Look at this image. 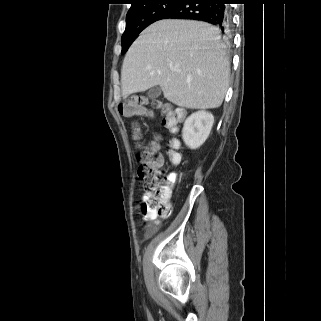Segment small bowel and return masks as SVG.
I'll list each match as a JSON object with an SVG mask.
<instances>
[{"mask_svg":"<svg viewBox=\"0 0 321 321\" xmlns=\"http://www.w3.org/2000/svg\"><path fill=\"white\" fill-rule=\"evenodd\" d=\"M161 159L163 160V156L161 154H159ZM168 181L170 183L171 186H173L176 181H177V176L176 174L174 173H171L169 176H168ZM146 198V195L144 194L142 196V200ZM144 220L145 221H149L151 222L152 224H148L147 225V229H148V232H154L155 231V228L156 226L159 224V220L156 218V217H144Z\"/></svg>","mask_w":321,"mask_h":321,"instance_id":"1","label":"small bowel"}]
</instances>
